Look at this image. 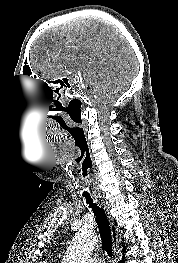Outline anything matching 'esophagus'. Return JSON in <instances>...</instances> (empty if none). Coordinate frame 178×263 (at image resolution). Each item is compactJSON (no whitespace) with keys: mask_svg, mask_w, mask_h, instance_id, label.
Listing matches in <instances>:
<instances>
[{"mask_svg":"<svg viewBox=\"0 0 178 263\" xmlns=\"http://www.w3.org/2000/svg\"><path fill=\"white\" fill-rule=\"evenodd\" d=\"M108 218H109V223H110V229H111V234H112L114 250L116 251V249L118 248V244H119V232H118V228L114 224V221L110 217V215H108Z\"/></svg>","mask_w":178,"mask_h":263,"instance_id":"34e87169","label":"esophagus"}]
</instances>
